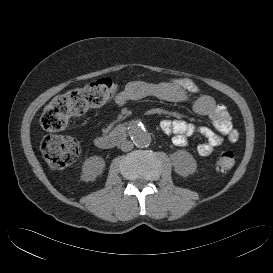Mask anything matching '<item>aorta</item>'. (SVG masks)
I'll return each mask as SVG.
<instances>
[{
  "mask_svg": "<svg viewBox=\"0 0 273 273\" xmlns=\"http://www.w3.org/2000/svg\"><path fill=\"white\" fill-rule=\"evenodd\" d=\"M130 133L136 146L143 148L150 145L151 135L142 123L134 121L130 127Z\"/></svg>",
  "mask_w": 273,
  "mask_h": 273,
  "instance_id": "obj_1",
  "label": "aorta"
}]
</instances>
